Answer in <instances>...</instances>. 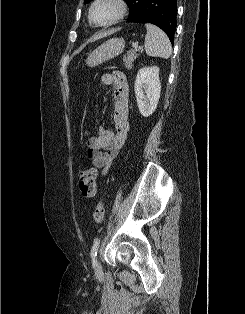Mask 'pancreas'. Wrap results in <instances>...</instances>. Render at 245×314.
<instances>
[{
    "label": "pancreas",
    "mask_w": 245,
    "mask_h": 314,
    "mask_svg": "<svg viewBox=\"0 0 245 314\" xmlns=\"http://www.w3.org/2000/svg\"><path fill=\"white\" fill-rule=\"evenodd\" d=\"M136 58H137V55L134 52L128 51L126 55L123 57L125 68L132 69V63L134 62Z\"/></svg>",
    "instance_id": "cf45deb5"
}]
</instances>
